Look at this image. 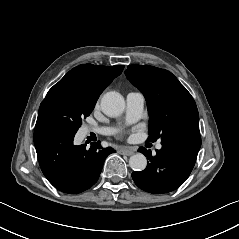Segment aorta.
Segmentation results:
<instances>
[{
  "instance_id": "obj_1",
  "label": "aorta",
  "mask_w": 239,
  "mask_h": 239,
  "mask_svg": "<svg viewBox=\"0 0 239 239\" xmlns=\"http://www.w3.org/2000/svg\"><path fill=\"white\" fill-rule=\"evenodd\" d=\"M100 105L104 114L117 117L124 111L125 100L119 92L109 91L102 96ZM129 165L133 170L143 171L147 166V159L143 154L137 153L130 157Z\"/></svg>"
}]
</instances>
